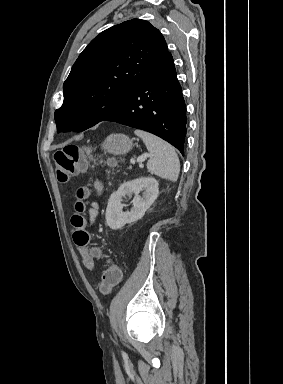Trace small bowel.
Returning <instances> with one entry per match:
<instances>
[{
    "label": "small bowel",
    "mask_w": 283,
    "mask_h": 384,
    "mask_svg": "<svg viewBox=\"0 0 283 384\" xmlns=\"http://www.w3.org/2000/svg\"><path fill=\"white\" fill-rule=\"evenodd\" d=\"M94 187L97 191V194H101V192L103 191L102 183L100 181H96L94 183ZM97 214H98V204L94 202V203H92L91 208L89 210V222H90L91 226L94 224L96 217H97ZM78 250L82 256L83 264L85 265V267L88 269H93L94 259H93V255L91 254L89 248L78 246Z\"/></svg>",
    "instance_id": "obj_1"
}]
</instances>
